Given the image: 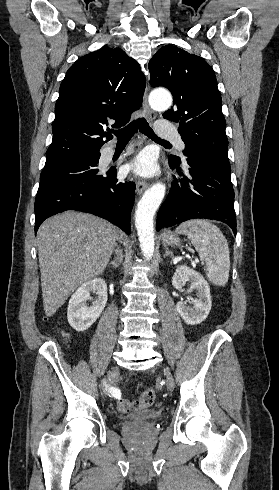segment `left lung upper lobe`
Listing matches in <instances>:
<instances>
[{"mask_svg": "<svg viewBox=\"0 0 279 490\" xmlns=\"http://www.w3.org/2000/svg\"><path fill=\"white\" fill-rule=\"evenodd\" d=\"M152 87H167L175 107L164 118L180 124L185 156L208 154L229 163L228 139L222 99L212 67L206 61L176 46L159 49L149 62ZM177 164L180 158L169 157Z\"/></svg>", "mask_w": 279, "mask_h": 490, "instance_id": "left-lung-upper-lobe-1", "label": "left lung upper lobe"}]
</instances>
